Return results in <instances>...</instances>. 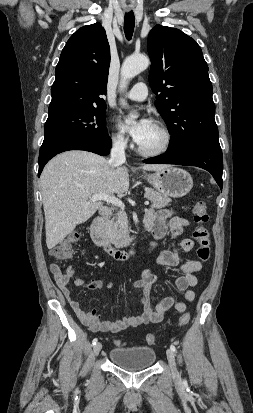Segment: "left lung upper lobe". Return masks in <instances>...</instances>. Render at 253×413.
Masks as SVG:
<instances>
[{
  "label": "left lung upper lobe",
  "instance_id": "obj_1",
  "mask_svg": "<svg viewBox=\"0 0 253 413\" xmlns=\"http://www.w3.org/2000/svg\"><path fill=\"white\" fill-rule=\"evenodd\" d=\"M147 48L155 105L171 134L168 151L199 144L220 146L209 69L200 46L179 29L156 25Z\"/></svg>",
  "mask_w": 253,
  "mask_h": 413
}]
</instances>
